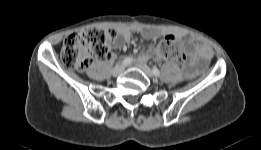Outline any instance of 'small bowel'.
Returning <instances> with one entry per match:
<instances>
[{
  "label": "small bowel",
  "instance_id": "1",
  "mask_svg": "<svg viewBox=\"0 0 261 150\" xmlns=\"http://www.w3.org/2000/svg\"><path fill=\"white\" fill-rule=\"evenodd\" d=\"M133 30L139 32L145 39H153L157 36V32L153 29L120 27L114 36L113 46L116 48H124V44L131 40ZM185 47L194 54L190 65L186 68L187 75L192 76L206 65L211 57V52L202 44H186ZM105 58L108 61H113L116 58V53L114 51H107ZM148 58V54H142L138 57V61L145 62Z\"/></svg>",
  "mask_w": 261,
  "mask_h": 150
}]
</instances>
